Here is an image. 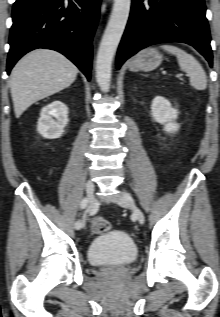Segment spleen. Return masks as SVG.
Returning a JSON list of instances; mask_svg holds the SVG:
<instances>
[{"mask_svg": "<svg viewBox=\"0 0 220 317\" xmlns=\"http://www.w3.org/2000/svg\"><path fill=\"white\" fill-rule=\"evenodd\" d=\"M161 48L177 57L179 67L190 77V85L196 90L207 87V77L201 64L191 54L173 45H162Z\"/></svg>", "mask_w": 220, "mask_h": 317, "instance_id": "obj_1", "label": "spleen"}]
</instances>
